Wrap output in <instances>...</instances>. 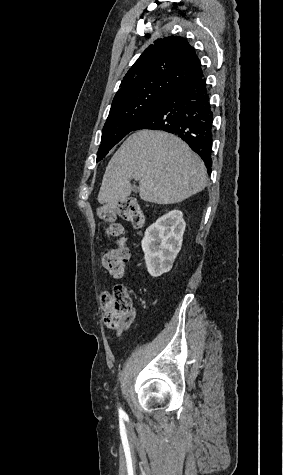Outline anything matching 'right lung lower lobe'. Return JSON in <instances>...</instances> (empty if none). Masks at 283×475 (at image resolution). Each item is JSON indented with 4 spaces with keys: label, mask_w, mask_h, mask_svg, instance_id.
<instances>
[{
    "label": "right lung lower lobe",
    "mask_w": 283,
    "mask_h": 475,
    "mask_svg": "<svg viewBox=\"0 0 283 475\" xmlns=\"http://www.w3.org/2000/svg\"><path fill=\"white\" fill-rule=\"evenodd\" d=\"M213 111L204 76L175 87L132 131L163 130L184 140L211 173Z\"/></svg>",
    "instance_id": "right-lung-lower-lobe-1"
}]
</instances>
